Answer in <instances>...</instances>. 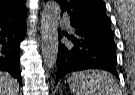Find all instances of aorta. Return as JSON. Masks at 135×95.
<instances>
[{"instance_id": "obj_1", "label": "aorta", "mask_w": 135, "mask_h": 95, "mask_svg": "<svg viewBox=\"0 0 135 95\" xmlns=\"http://www.w3.org/2000/svg\"><path fill=\"white\" fill-rule=\"evenodd\" d=\"M60 12L58 2L49 0L41 15L42 55L47 68H53L57 62Z\"/></svg>"}]
</instances>
